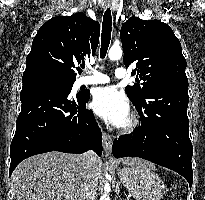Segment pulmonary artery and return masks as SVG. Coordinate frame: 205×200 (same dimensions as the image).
<instances>
[{"mask_svg": "<svg viewBox=\"0 0 205 200\" xmlns=\"http://www.w3.org/2000/svg\"><path fill=\"white\" fill-rule=\"evenodd\" d=\"M115 76L118 79L126 78L127 72L124 68H117L115 70ZM109 82H110L109 76H107L101 72H98V71H94L92 73V75L82 77L79 80L80 85L106 84Z\"/></svg>", "mask_w": 205, "mask_h": 200, "instance_id": "pulmonary-artery-1", "label": "pulmonary artery"}]
</instances>
